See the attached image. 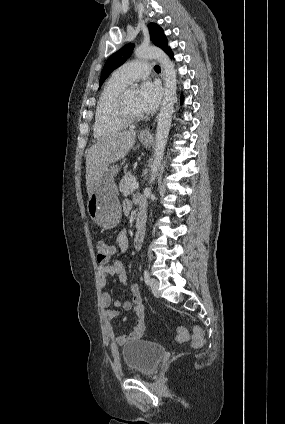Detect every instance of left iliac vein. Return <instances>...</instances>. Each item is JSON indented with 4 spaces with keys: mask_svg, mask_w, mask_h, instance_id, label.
<instances>
[{
    "mask_svg": "<svg viewBox=\"0 0 285 424\" xmlns=\"http://www.w3.org/2000/svg\"><path fill=\"white\" fill-rule=\"evenodd\" d=\"M149 284H150V289H151L152 293L155 296L158 297L159 296V291H158L159 283H158V281L156 279H154V278H151Z\"/></svg>",
    "mask_w": 285,
    "mask_h": 424,
    "instance_id": "left-iliac-vein-1",
    "label": "left iliac vein"
}]
</instances>
